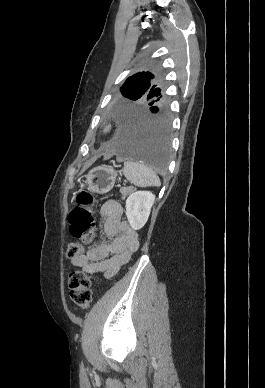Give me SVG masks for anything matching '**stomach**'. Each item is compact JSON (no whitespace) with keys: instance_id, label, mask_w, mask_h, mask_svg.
<instances>
[{"instance_id":"obj_1","label":"stomach","mask_w":265,"mask_h":388,"mask_svg":"<svg viewBox=\"0 0 265 388\" xmlns=\"http://www.w3.org/2000/svg\"><path fill=\"white\" fill-rule=\"evenodd\" d=\"M117 173L113 167L99 166L93 168L87 175V189L99 194L109 192L115 184Z\"/></svg>"}]
</instances>
